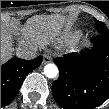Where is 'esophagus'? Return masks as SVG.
<instances>
[{
	"instance_id": "1",
	"label": "esophagus",
	"mask_w": 109,
	"mask_h": 109,
	"mask_svg": "<svg viewBox=\"0 0 109 109\" xmlns=\"http://www.w3.org/2000/svg\"><path fill=\"white\" fill-rule=\"evenodd\" d=\"M51 61H52V58L50 55H48V54L44 55V57H43L44 64L50 63Z\"/></svg>"
}]
</instances>
